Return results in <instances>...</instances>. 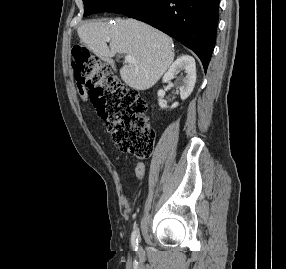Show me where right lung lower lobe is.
Listing matches in <instances>:
<instances>
[{
    "instance_id": "obj_1",
    "label": "right lung lower lobe",
    "mask_w": 286,
    "mask_h": 269,
    "mask_svg": "<svg viewBox=\"0 0 286 269\" xmlns=\"http://www.w3.org/2000/svg\"><path fill=\"white\" fill-rule=\"evenodd\" d=\"M220 0H153L128 15L175 38L194 51L207 70L215 46Z\"/></svg>"
}]
</instances>
